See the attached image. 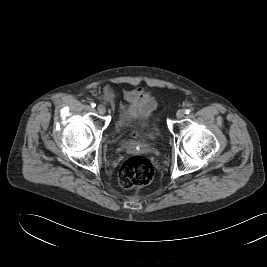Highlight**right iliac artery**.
Listing matches in <instances>:
<instances>
[{
    "label": "right iliac artery",
    "instance_id": "82829eb1",
    "mask_svg": "<svg viewBox=\"0 0 267 267\" xmlns=\"http://www.w3.org/2000/svg\"><path fill=\"white\" fill-rule=\"evenodd\" d=\"M90 105H91V107H95L96 106V104L94 102H91Z\"/></svg>",
    "mask_w": 267,
    "mask_h": 267
}]
</instances>
